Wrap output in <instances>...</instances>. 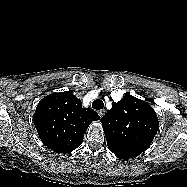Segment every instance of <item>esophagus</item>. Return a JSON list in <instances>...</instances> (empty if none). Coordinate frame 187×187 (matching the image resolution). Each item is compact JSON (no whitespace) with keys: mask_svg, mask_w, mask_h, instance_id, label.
Instances as JSON below:
<instances>
[{"mask_svg":"<svg viewBox=\"0 0 187 187\" xmlns=\"http://www.w3.org/2000/svg\"><path fill=\"white\" fill-rule=\"evenodd\" d=\"M105 112H106L105 109H102L98 111V114L100 117H103L105 115Z\"/></svg>","mask_w":187,"mask_h":187,"instance_id":"34e87169","label":"esophagus"}]
</instances>
